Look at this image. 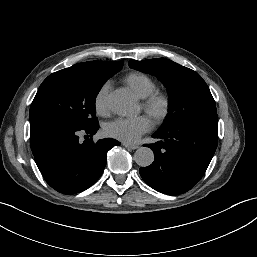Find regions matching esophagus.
Here are the masks:
<instances>
[{
    "mask_svg": "<svg viewBox=\"0 0 257 257\" xmlns=\"http://www.w3.org/2000/svg\"><path fill=\"white\" fill-rule=\"evenodd\" d=\"M123 146L128 148V149H131V150H135L137 148H139L138 145H135V144H128V143H123Z\"/></svg>",
    "mask_w": 257,
    "mask_h": 257,
    "instance_id": "1",
    "label": "esophagus"
}]
</instances>
